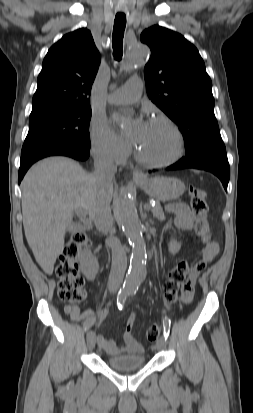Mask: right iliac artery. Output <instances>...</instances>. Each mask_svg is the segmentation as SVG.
<instances>
[{
    "label": "right iliac artery",
    "mask_w": 253,
    "mask_h": 413,
    "mask_svg": "<svg viewBox=\"0 0 253 413\" xmlns=\"http://www.w3.org/2000/svg\"><path fill=\"white\" fill-rule=\"evenodd\" d=\"M129 295V291L127 290H120L117 296V306L119 310H122L123 306H124V302L126 300V297ZM92 326V324H87L84 327L85 331H88V329Z\"/></svg>",
    "instance_id": "1"
}]
</instances>
